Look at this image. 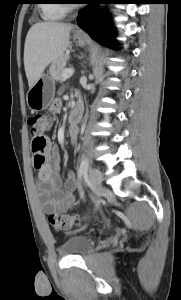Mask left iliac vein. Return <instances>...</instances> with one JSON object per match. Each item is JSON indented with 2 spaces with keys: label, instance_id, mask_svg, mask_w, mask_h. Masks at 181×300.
Masks as SVG:
<instances>
[{
  "label": "left iliac vein",
  "instance_id": "obj_1",
  "mask_svg": "<svg viewBox=\"0 0 181 300\" xmlns=\"http://www.w3.org/2000/svg\"><path fill=\"white\" fill-rule=\"evenodd\" d=\"M89 179L96 192L100 193L102 191V181H103V176L101 171L95 167H92L89 170ZM95 201L97 202V199H95Z\"/></svg>",
  "mask_w": 181,
  "mask_h": 300
}]
</instances>
